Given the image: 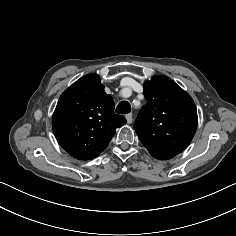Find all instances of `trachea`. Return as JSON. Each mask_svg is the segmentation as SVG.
I'll use <instances>...</instances> for the list:
<instances>
[{
  "label": "trachea",
  "mask_w": 236,
  "mask_h": 236,
  "mask_svg": "<svg viewBox=\"0 0 236 236\" xmlns=\"http://www.w3.org/2000/svg\"><path fill=\"white\" fill-rule=\"evenodd\" d=\"M131 111V105L128 101L120 102L116 107V113L127 114Z\"/></svg>",
  "instance_id": "obj_1"
}]
</instances>
